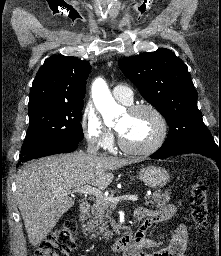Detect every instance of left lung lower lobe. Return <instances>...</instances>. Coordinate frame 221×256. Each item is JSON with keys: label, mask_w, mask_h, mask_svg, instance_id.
Returning <instances> with one entry per match:
<instances>
[{"label": "left lung lower lobe", "mask_w": 221, "mask_h": 256, "mask_svg": "<svg viewBox=\"0 0 221 256\" xmlns=\"http://www.w3.org/2000/svg\"><path fill=\"white\" fill-rule=\"evenodd\" d=\"M183 153L201 154L215 160L217 166L221 168V145L216 144L212 136H198L184 142L163 145L150 157L162 159Z\"/></svg>", "instance_id": "obj_1"}]
</instances>
